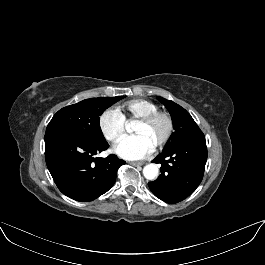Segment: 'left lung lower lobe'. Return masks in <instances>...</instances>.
<instances>
[{
    "mask_svg": "<svg viewBox=\"0 0 265 265\" xmlns=\"http://www.w3.org/2000/svg\"><path fill=\"white\" fill-rule=\"evenodd\" d=\"M207 161L204 134L164 148L152 162L161 164V175L149 188L167 203H178L187 198L202 181Z\"/></svg>",
    "mask_w": 265,
    "mask_h": 265,
    "instance_id": "left-lung-lower-lobe-1",
    "label": "left lung lower lobe"
}]
</instances>
